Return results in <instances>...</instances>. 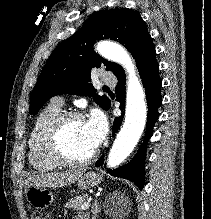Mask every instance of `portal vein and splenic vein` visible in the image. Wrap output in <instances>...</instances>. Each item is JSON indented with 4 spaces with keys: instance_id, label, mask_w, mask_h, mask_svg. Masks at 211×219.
Segmentation results:
<instances>
[{
    "instance_id": "1",
    "label": "portal vein and splenic vein",
    "mask_w": 211,
    "mask_h": 219,
    "mask_svg": "<svg viewBox=\"0 0 211 219\" xmlns=\"http://www.w3.org/2000/svg\"><path fill=\"white\" fill-rule=\"evenodd\" d=\"M91 200H92V198H89V199L87 200V202H85V203L82 205L81 209H82V210H86L87 208H89L90 203H91Z\"/></svg>"
}]
</instances>
